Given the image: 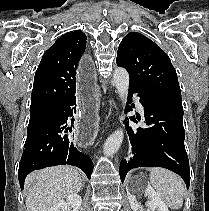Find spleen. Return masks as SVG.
<instances>
[{
    "label": "spleen",
    "mask_w": 209,
    "mask_h": 211,
    "mask_svg": "<svg viewBox=\"0 0 209 211\" xmlns=\"http://www.w3.org/2000/svg\"><path fill=\"white\" fill-rule=\"evenodd\" d=\"M150 182L169 208L178 210L183 206L185 186L178 175L164 168H151Z\"/></svg>",
    "instance_id": "1"
}]
</instances>
